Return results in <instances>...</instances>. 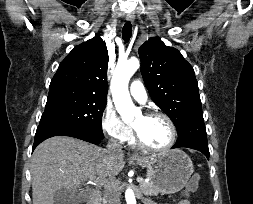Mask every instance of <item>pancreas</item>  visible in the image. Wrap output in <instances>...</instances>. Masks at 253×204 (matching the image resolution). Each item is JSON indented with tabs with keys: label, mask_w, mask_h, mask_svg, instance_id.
<instances>
[{
	"label": "pancreas",
	"mask_w": 253,
	"mask_h": 204,
	"mask_svg": "<svg viewBox=\"0 0 253 204\" xmlns=\"http://www.w3.org/2000/svg\"><path fill=\"white\" fill-rule=\"evenodd\" d=\"M139 185L141 192L146 196L157 195L160 193V191L151 182L146 183L143 181ZM103 204H105V202Z\"/></svg>",
	"instance_id": "pancreas-1"
}]
</instances>
